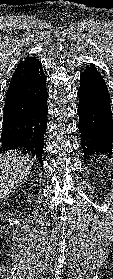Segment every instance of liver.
Returning <instances> with one entry per match:
<instances>
[{"label":"liver","mask_w":113,"mask_h":279,"mask_svg":"<svg viewBox=\"0 0 113 279\" xmlns=\"http://www.w3.org/2000/svg\"><path fill=\"white\" fill-rule=\"evenodd\" d=\"M34 158L18 151L0 154V199L10 194L30 174Z\"/></svg>","instance_id":"6515ba94"}]
</instances>
